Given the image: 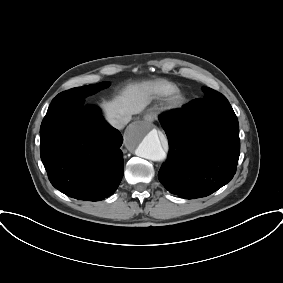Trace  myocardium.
Listing matches in <instances>:
<instances>
[{"label":"myocardium","instance_id":"1","mask_svg":"<svg viewBox=\"0 0 283 283\" xmlns=\"http://www.w3.org/2000/svg\"><path fill=\"white\" fill-rule=\"evenodd\" d=\"M181 100H182V96L179 94H175L171 98L172 103H180Z\"/></svg>","mask_w":283,"mask_h":283}]
</instances>
